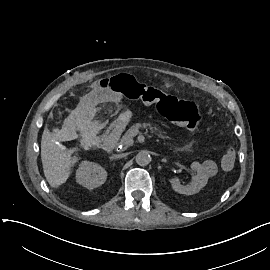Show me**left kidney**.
<instances>
[{
  "instance_id": "5707ae66",
  "label": "left kidney",
  "mask_w": 270,
  "mask_h": 270,
  "mask_svg": "<svg viewBox=\"0 0 270 270\" xmlns=\"http://www.w3.org/2000/svg\"><path fill=\"white\" fill-rule=\"evenodd\" d=\"M191 169L196 172L194 176V183L191 186H183L180 184V178L178 176L169 179L171 188L179 194L193 195L198 193L208 181V176L203 172L202 166L198 162L191 164Z\"/></svg>"
}]
</instances>
